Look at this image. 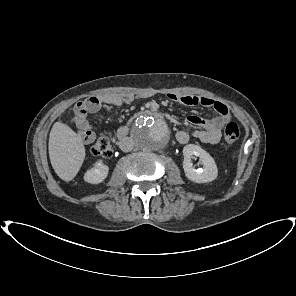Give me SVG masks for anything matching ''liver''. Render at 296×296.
Instances as JSON below:
<instances>
[{"label": "liver", "mask_w": 296, "mask_h": 296, "mask_svg": "<svg viewBox=\"0 0 296 296\" xmlns=\"http://www.w3.org/2000/svg\"><path fill=\"white\" fill-rule=\"evenodd\" d=\"M48 150L55 173L64 181H71L85 159L81 138L66 124L55 122L50 131Z\"/></svg>", "instance_id": "6515ba94"}]
</instances>
